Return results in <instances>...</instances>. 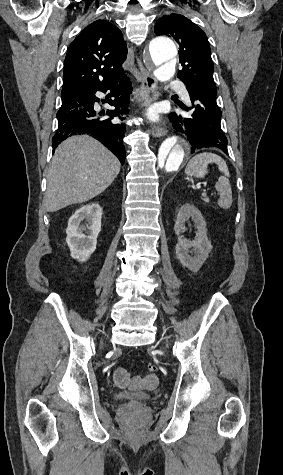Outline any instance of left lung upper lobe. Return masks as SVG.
Listing matches in <instances>:
<instances>
[{
	"instance_id": "obj_1",
	"label": "left lung upper lobe",
	"mask_w": 283,
	"mask_h": 475,
	"mask_svg": "<svg viewBox=\"0 0 283 475\" xmlns=\"http://www.w3.org/2000/svg\"><path fill=\"white\" fill-rule=\"evenodd\" d=\"M154 30L156 35L173 37L179 44L183 68L177 77L182 82L216 89L210 46L206 34L196 24L183 15L170 14L162 16Z\"/></svg>"
}]
</instances>
